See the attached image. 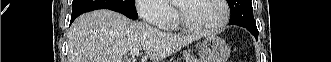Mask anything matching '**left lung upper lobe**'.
<instances>
[{"label":"left lung upper lobe","instance_id":"5c2ea615","mask_svg":"<svg viewBox=\"0 0 331 62\" xmlns=\"http://www.w3.org/2000/svg\"><path fill=\"white\" fill-rule=\"evenodd\" d=\"M230 10V25H238L246 28L251 34L258 38V30L253 16L251 0H227Z\"/></svg>","mask_w":331,"mask_h":62}]
</instances>
